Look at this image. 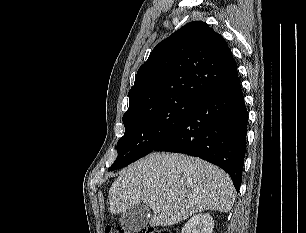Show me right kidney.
<instances>
[{
  "instance_id": "obj_1",
  "label": "right kidney",
  "mask_w": 306,
  "mask_h": 233,
  "mask_svg": "<svg viewBox=\"0 0 306 233\" xmlns=\"http://www.w3.org/2000/svg\"><path fill=\"white\" fill-rule=\"evenodd\" d=\"M214 220L210 214L194 215L182 228L181 233H212Z\"/></svg>"
}]
</instances>
